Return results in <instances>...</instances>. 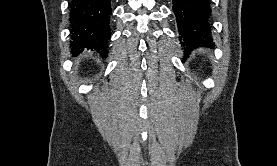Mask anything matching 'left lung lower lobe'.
<instances>
[{"mask_svg":"<svg viewBox=\"0 0 277 166\" xmlns=\"http://www.w3.org/2000/svg\"><path fill=\"white\" fill-rule=\"evenodd\" d=\"M180 43L190 53L195 48L213 46L209 0H173Z\"/></svg>","mask_w":277,"mask_h":166,"instance_id":"1","label":"left lung lower lobe"}]
</instances>
